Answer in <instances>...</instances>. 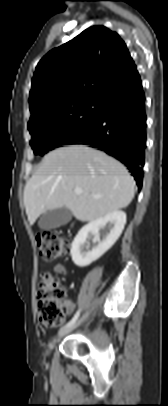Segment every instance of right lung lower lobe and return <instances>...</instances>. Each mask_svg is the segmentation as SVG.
Segmentation results:
<instances>
[{
  "instance_id": "right-lung-lower-lobe-1",
  "label": "right lung lower lobe",
  "mask_w": 168,
  "mask_h": 406,
  "mask_svg": "<svg viewBox=\"0 0 168 406\" xmlns=\"http://www.w3.org/2000/svg\"><path fill=\"white\" fill-rule=\"evenodd\" d=\"M99 101L94 123L65 145L85 144L104 151L128 167L141 189L146 114L140 76L107 92Z\"/></svg>"
}]
</instances>
